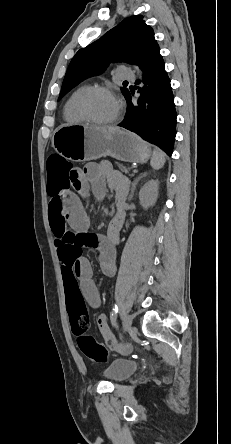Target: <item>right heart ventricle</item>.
I'll use <instances>...</instances> for the list:
<instances>
[{"label": "right heart ventricle", "mask_w": 231, "mask_h": 444, "mask_svg": "<svg viewBox=\"0 0 231 444\" xmlns=\"http://www.w3.org/2000/svg\"><path fill=\"white\" fill-rule=\"evenodd\" d=\"M87 84H81L76 87L68 98L65 101L63 107V117L64 119L71 124H80L83 123L84 120L79 116L76 105L80 95L88 88Z\"/></svg>", "instance_id": "1"}]
</instances>
